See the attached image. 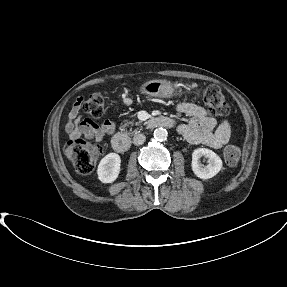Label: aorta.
Instances as JSON below:
<instances>
[{
    "instance_id": "aorta-1",
    "label": "aorta",
    "mask_w": 287,
    "mask_h": 287,
    "mask_svg": "<svg viewBox=\"0 0 287 287\" xmlns=\"http://www.w3.org/2000/svg\"><path fill=\"white\" fill-rule=\"evenodd\" d=\"M168 132L165 128L159 127L154 130V138L158 141H164L167 139Z\"/></svg>"
}]
</instances>
